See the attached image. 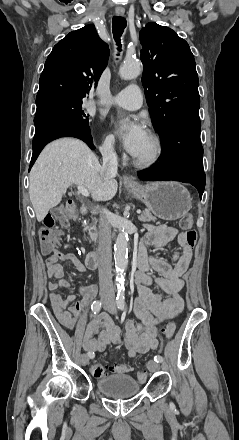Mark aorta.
<instances>
[{"label":"aorta","mask_w":239,"mask_h":440,"mask_svg":"<svg viewBox=\"0 0 239 440\" xmlns=\"http://www.w3.org/2000/svg\"><path fill=\"white\" fill-rule=\"evenodd\" d=\"M141 72L140 62H131V64H123L119 70L122 80H133L138 78ZM114 260L116 270V282L119 292L123 290V280L128 266V234L120 232L114 244Z\"/></svg>","instance_id":"aorta-1"}]
</instances>
